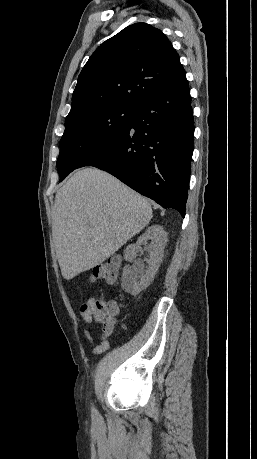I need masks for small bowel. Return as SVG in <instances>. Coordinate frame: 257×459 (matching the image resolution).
<instances>
[{"instance_id": "obj_1", "label": "small bowel", "mask_w": 257, "mask_h": 459, "mask_svg": "<svg viewBox=\"0 0 257 459\" xmlns=\"http://www.w3.org/2000/svg\"><path fill=\"white\" fill-rule=\"evenodd\" d=\"M114 281H111L110 283H113ZM94 301L93 297H90L88 299V302ZM110 304L112 306V313L110 316L106 319H100L98 318L93 312L91 311H82L80 313L81 318L88 324H92L94 321L97 323H102V330H101V342L95 346L92 350V353L94 355H99L105 352L109 348V342L108 338L111 335L114 326L116 324V316L119 313V306L116 301H110ZM83 336L86 339L88 343H92V337L90 332L87 329L83 330Z\"/></svg>"}]
</instances>
